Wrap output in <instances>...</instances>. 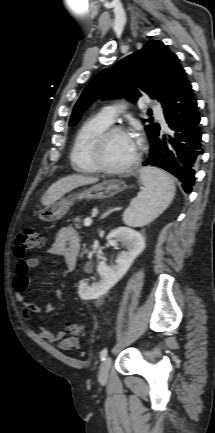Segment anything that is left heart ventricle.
<instances>
[{
    "instance_id": "obj_1",
    "label": "left heart ventricle",
    "mask_w": 215,
    "mask_h": 433,
    "mask_svg": "<svg viewBox=\"0 0 215 433\" xmlns=\"http://www.w3.org/2000/svg\"><path fill=\"white\" fill-rule=\"evenodd\" d=\"M138 142L127 133H115L105 143L102 152L104 163L118 168L130 163L136 155Z\"/></svg>"
}]
</instances>
